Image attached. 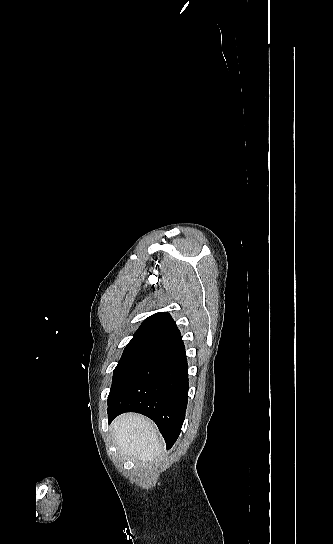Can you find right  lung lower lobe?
<instances>
[{
    "label": "right lung lower lobe",
    "instance_id": "right-lung-lower-lobe-1",
    "mask_svg": "<svg viewBox=\"0 0 333 544\" xmlns=\"http://www.w3.org/2000/svg\"><path fill=\"white\" fill-rule=\"evenodd\" d=\"M188 364L181 337L151 349L124 386L108 401V422L124 412L152 419L167 448L176 442L188 402Z\"/></svg>",
    "mask_w": 333,
    "mask_h": 544
}]
</instances>
